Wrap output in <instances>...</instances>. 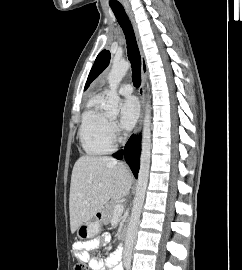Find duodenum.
I'll return each instance as SVG.
<instances>
[{
    "instance_id": "obj_1",
    "label": "duodenum",
    "mask_w": 242,
    "mask_h": 270,
    "mask_svg": "<svg viewBox=\"0 0 242 270\" xmlns=\"http://www.w3.org/2000/svg\"><path fill=\"white\" fill-rule=\"evenodd\" d=\"M120 241L122 243H125V241H126V233L125 232H123V233L120 234Z\"/></svg>"
}]
</instances>
